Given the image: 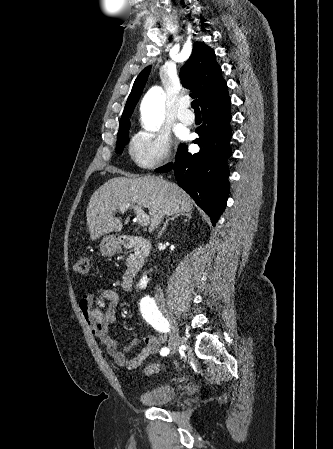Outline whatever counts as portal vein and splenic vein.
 Segmentation results:
<instances>
[{
	"label": "portal vein and splenic vein",
	"mask_w": 333,
	"mask_h": 449,
	"mask_svg": "<svg viewBox=\"0 0 333 449\" xmlns=\"http://www.w3.org/2000/svg\"><path fill=\"white\" fill-rule=\"evenodd\" d=\"M131 207L134 209V212L137 215L139 225L142 227L148 226V224L150 223V218L147 214H145V212L142 210L140 206L127 204L125 206H121L119 210L124 212L125 210Z\"/></svg>",
	"instance_id": "portal-vein-and-splenic-vein-1"
}]
</instances>
